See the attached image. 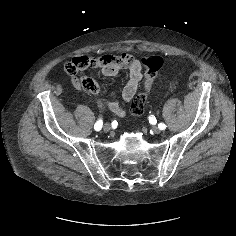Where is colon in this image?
Masks as SVG:
<instances>
[{
  "label": "colon",
  "mask_w": 236,
  "mask_h": 236,
  "mask_svg": "<svg viewBox=\"0 0 236 236\" xmlns=\"http://www.w3.org/2000/svg\"><path fill=\"white\" fill-rule=\"evenodd\" d=\"M142 63L145 67L144 72V88L145 91L135 97L132 102L131 110L135 115H141L144 111V107L147 99V92L153 85V82L163 65V59L158 55H150L142 59ZM86 64L77 65V63L67 62L65 65V71L67 74H75L86 68Z\"/></svg>",
  "instance_id": "colon-1"
}]
</instances>
